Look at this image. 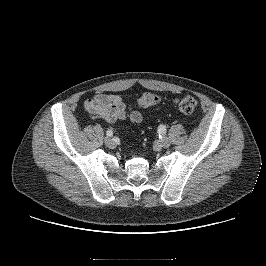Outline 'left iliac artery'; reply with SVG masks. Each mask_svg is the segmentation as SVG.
<instances>
[{
  "label": "left iliac artery",
  "instance_id": "1",
  "mask_svg": "<svg viewBox=\"0 0 266 266\" xmlns=\"http://www.w3.org/2000/svg\"><path fill=\"white\" fill-rule=\"evenodd\" d=\"M158 132L160 136H164L166 134V127L164 125H160L158 128Z\"/></svg>",
  "mask_w": 266,
  "mask_h": 266
}]
</instances>
